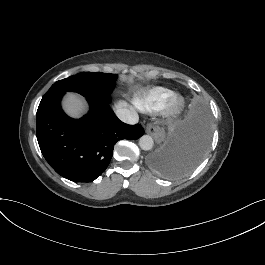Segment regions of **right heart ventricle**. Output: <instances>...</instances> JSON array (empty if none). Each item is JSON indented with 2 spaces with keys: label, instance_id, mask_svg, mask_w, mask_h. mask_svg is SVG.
<instances>
[{
  "label": "right heart ventricle",
  "instance_id": "right-heart-ventricle-1",
  "mask_svg": "<svg viewBox=\"0 0 265 265\" xmlns=\"http://www.w3.org/2000/svg\"><path fill=\"white\" fill-rule=\"evenodd\" d=\"M172 94L170 91L165 89H156L148 97L139 103L140 108L146 112H152L160 110L166 107L170 100Z\"/></svg>",
  "mask_w": 265,
  "mask_h": 265
}]
</instances>
